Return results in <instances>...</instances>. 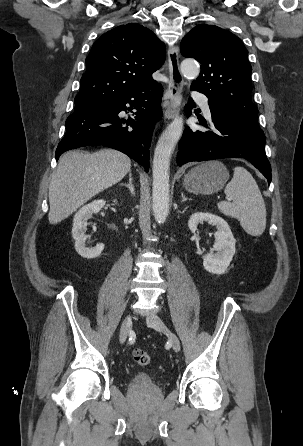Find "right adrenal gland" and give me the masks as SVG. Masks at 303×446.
<instances>
[{
	"instance_id": "obj_1",
	"label": "right adrenal gland",
	"mask_w": 303,
	"mask_h": 446,
	"mask_svg": "<svg viewBox=\"0 0 303 446\" xmlns=\"http://www.w3.org/2000/svg\"><path fill=\"white\" fill-rule=\"evenodd\" d=\"M121 186H125L126 188H128L129 192L131 193L132 196L135 195V187L133 184V178H132V173L131 171H129V182L128 183H121Z\"/></svg>"
}]
</instances>
